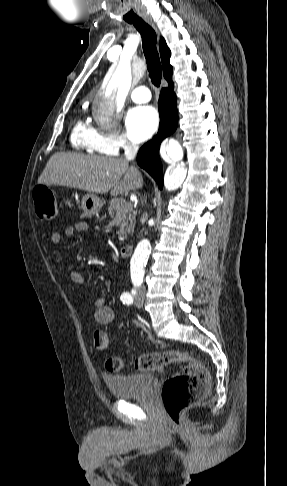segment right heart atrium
Instances as JSON below:
<instances>
[{
	"instance_id": "obj_1",
	"label": "right heart atrium",
	"mask_w": 287,
	"mask_h": 486,
	"mask_svg": "<svg viewBox=\"0 0 287 486\" xmlns=\"http://www.w3.org/2000/svg\"><path fill=\"white\" fill-rule=\"evenodd\" d=\"M135 148L133 144L124 133L118 131H110L99 133L95 142V149L104 154L116 155L121 150H132Z\"/></svg>"
}]
</instances>
